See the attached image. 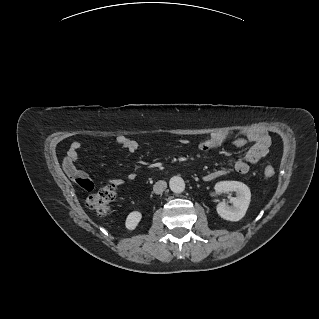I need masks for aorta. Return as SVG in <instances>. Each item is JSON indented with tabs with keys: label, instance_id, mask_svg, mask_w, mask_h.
<instances>
[{
	"label": "aorta",
	"instance_id": "762f6f07",
	"mask_svg": "<svg viewBox=\"0 0 319 319\" xmlns=\"http://www.w3.org/2000/svg\"><path fill=\"white\" fill-rule=\"evenodd\" d=\"M169 186L174 193H182L185 190V182L179 176L172 177L169 181Z\"/></svg>",
	"mask_w": 319,
	"mask_h": 319
}]
</instances>
